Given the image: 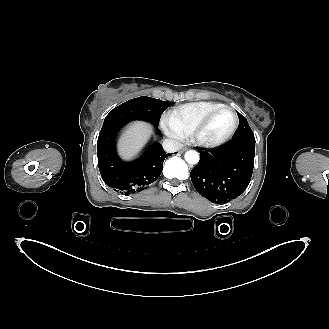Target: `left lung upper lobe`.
<instances>
[{
  "label": "left lung upper lobe",
  "mask_w": 329,
  "mask_h": 329,
  "mask_svg": "<svg viewBox=\"0 0 329 329\" xmlns=\"http://www.w3.org/2000/svg\"><path fill=\"white\" fill-rule=\"evenodd\" d=\"M239 117V126L235 136L232 141L241 140V139H249L255 141L254 134L246 120V118L237 112Z\"/></svg>",
  "instance_id": "obj_1"
}]
</instances>
